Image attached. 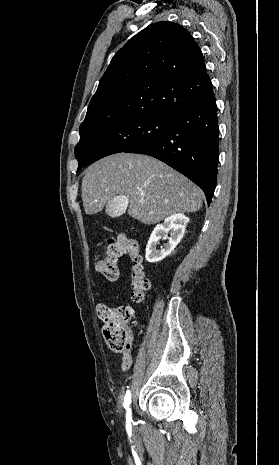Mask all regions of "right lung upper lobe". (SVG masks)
Here are the masks:
<instances>
[{
  "mask_svg": "<svg viewBox=\"0 0 279 465\" xmlns=\"http://www.w3.org/2000/svg\"><path fill=\"white\" fill-rule=\"evenodd\" d=\"M211 88L190 33L177 23L157 22L114 55L79 129L137 115L171 117L205 99Z\"/></svg>",
  "mask_w": 279,
  "mask_h": 465,
  "instance_id": "obj_1",
  "label": "right lung upper lobe"
}]
</instances>
